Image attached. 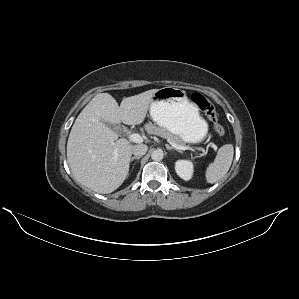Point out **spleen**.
<instances>
[{
    "label": "spleen",
    "instance_id": "obj_1",
    "mask_svg": "<svg viewBox=\"0 0 299 299\" xmlns=\"http://www.w3.org/2000/svg\"><path fill=\"white\" fill-rule=\"evenodd\" d=\"M234 147L232 144H225L218 150L217 156L206 170V180L208 183H216L229 171L233 161Z\"/></svg>",
    "mask_w": 299,
    "mask_h": 299
}]
</instances>
